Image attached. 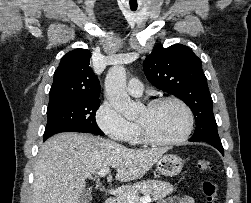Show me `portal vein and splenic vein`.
Segmentation results:
<instances>
[{
	"instance_id": "1",
	"label": "portal vein and splenic vein",
	"mask_w": 251,
	"mask_h": 203,
	"mask_svg": "<svg viewBox=\"0 0 251 203\" xmlns=\"http://www.w3.org/2000/svg\"><path fill=\"white\" fill-rule=\"evenodd\" d=\"M109 172H110V169L105 167V168H101L97 172V175L100 176V177H104L107 174H109ZM127 200H128L129 203H150L151 202V197L150 196H144V197L139 198V197H136L134 195H127Z\"/></svg>"
}]
</instances>
